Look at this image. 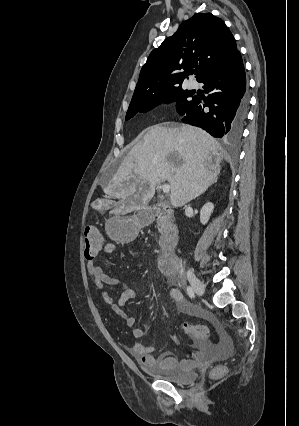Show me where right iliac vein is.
Here are the masks:
<instances>
[{"mask_svg":"<svg viewBox=\"0 0 299 426\" xmlns=\"http://www.w3.org/2000/svg\"><path fill=\"white\" fill-rule=\"evenodd\" d=\"M187 277L195 293L198 296H203L205 292L203 282L192 271L187 272Z\"/></svg>","mask_w":299,"mask_h":426,"instance_id":"63e3f726","label":"right iliac vein"}]
</instances>
